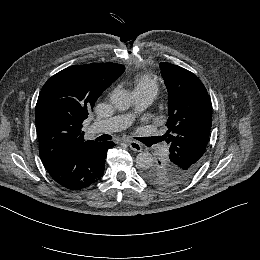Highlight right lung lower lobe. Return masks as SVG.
Wrapping results in <instances>:
<instances>
[{"label": "right lung lower lobe", "mask_w": 260, "mask_h": 260, "mask_svg": "<svg viewBox=\"0 0 260 260\" xmlns=\"http://www.w3.org/2000/svg\"><path fill=\"white\" fill-rule=\"evenodd\" d=\"M115 144L89 142L52 170L50 176L70 190H81L97 182L103 175L107 150Z\"/></svg>", "instance_id": "98d812e1"}]
</instances>
